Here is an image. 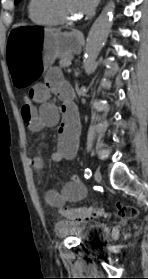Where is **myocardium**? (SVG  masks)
Here are the masks:
<instances>
[{"label":"myocardium","instance_id":"myocardium-1","mask_svg":"<svg viewBox=\"0 0 148 279\" xmlns=\"http://www.w3.org/2000/svg\"><path fill=\"white\" fill-rule=\"evenodd\" d=\"M41 6L46 13L58 21V23L71 24L78 21L77 17L67 16L61 11L58 0H41Z\"/></svg>","mask_w":148,"mask_h":279}]
</instances>
